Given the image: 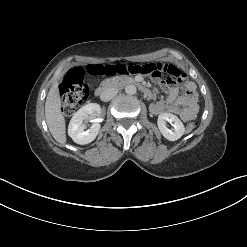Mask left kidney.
Wrapping results in <instances>:
<instances>
[{"label": "left kidney", "mask_w": 247, "mask_h": 247, "mask_svg": "<svg viewBox=\"0 0 247 247\" xmlns=\"http://www.w3.org/2000/svg\"><path fill=\"white\" fill-rule=\"evenodd\" d=\"M166 122L174 124V130H170L166 126ZM158 128L161 134L169 141L178 140L185 132V128L181 120L171 113H161L157 121Z\"/></svg>", "instance_id": "obj_1"}]
</instances>
